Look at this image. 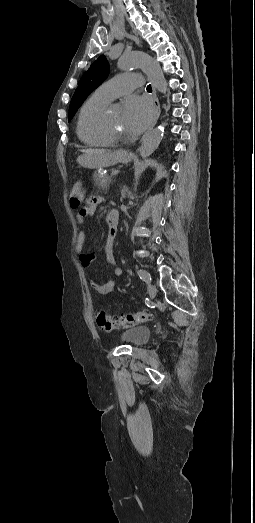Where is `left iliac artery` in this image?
Wrapping results in <instances>:
<instances>
[{
	"label": "left iliac artery",
	"instance_id": "44dca946",
	"mask_svg": "<svg viewBox=\"0 0 255 523\" xmlns=\"http://www.w3.org/2000/svg\"><path fill=\"white\" fill-rule=\"evenodd\" d=\"M137 273H138V275H139V277H140L141 280H143L144 282L148 283V278H147L146 273H145L144 270L139 269V270L137 271Z\"/></svg>",
	"mask_w": 255,
	"mask_h": 523
}]
</instances>
